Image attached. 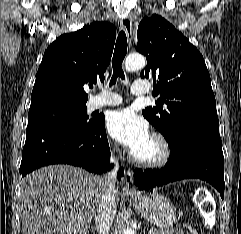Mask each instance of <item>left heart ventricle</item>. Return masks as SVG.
<instances>
[{
    "mask_svg": "<svg viewBox=\"0 0 241 234\" xmlns=\"http://www.w3.org/2000/svg\"><path fill=\"white\" fill-rule=\"evenodd\" d=\"M158 144L150 137L147 144L135 155L142 159H152L158 155Z\"/></svg>",
    "mask_w": 241,
    "mask_h": 234,
    "instance_id": "left-heart-ventricle-1",
    "label": "left heart ventricle"
}]
</instances>
